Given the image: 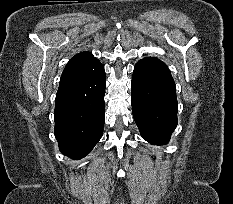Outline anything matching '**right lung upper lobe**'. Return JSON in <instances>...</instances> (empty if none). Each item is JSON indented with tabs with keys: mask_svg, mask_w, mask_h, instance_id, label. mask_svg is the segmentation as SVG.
I'll use <instances>...</instances> for the list:
<instances>
[{
	"mask_svg": "<svg viewBox=\"0 0 233 204\" xmlns=\"http://www.w3.org/2000/svg\"><path fill=\"white\" fill-rule=\"evenodd\" d=\"M101 63L90 52L76 54L65 67L59 86L80 80L92 74Z\"/></svg>",
	"mask_w": 233,
	"mask_h": 204,
	"instance_id": "obj_1",
	"label": "right lung upper lobe"
}]
</instances>
